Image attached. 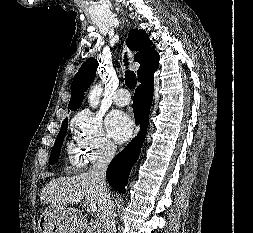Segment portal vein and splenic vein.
I'll use <instances>...</instances> for the list:
<instances>
[{"label":"portal vein and splenic vein","mask_w":253,"mask_h":233,"mask_svg":"<svg viewBox=\"0 0 253 233\" xmlns=\"http://www.w3.org/2000/svg\"><path fill=\"white\" fill-rule=\"evenodd\" d=\"M89 209L91 210V212H96L97 211V206H96V204H94V203H91L90 205H89Z\"/></svg>","instance_id":"obj_1"}]
</instances>
